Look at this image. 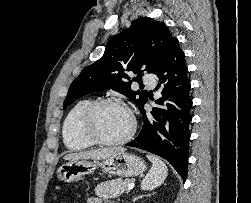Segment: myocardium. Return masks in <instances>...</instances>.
<instances>
[{
	"label": "myocardium",
	"instance_id": "myocardium-1",
	"mask_svg": "<svg viewBox=\"0 0 251 203\" xmlns=\"http://www.w3.org/2000/svg\"><path fill=\"white\" fill-rule=\"evenodd\" d=\"M105 105H118L124 108L131 119V127L129 131L121 138L116 140H108L102 138L94 128L95 117L98 110ZM137 129L136 118L131 109L120 99L117 98H101L92 101L82 113L80 119V131L82 135L91 141L93 144L102 146H118L127 143L135 134Z\"/></svg>",
	"mask_w": 251,
	"mask_h": 203
}]
</instances>
